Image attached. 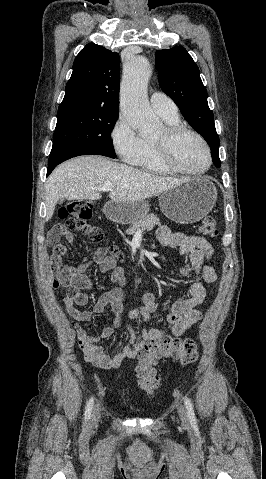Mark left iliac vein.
<instances>
[{
    "label": "left iliac vein",
    "instance_id": "obj_1",
    "mask_svg": "<svg viewBox=\"0 0 266 479\" xmlns=\"http://www.w3.org/2000/svg\"><path fill=\"white\" fill-rule=\"evenodd\" d=\"M178 414H179V417H180V420H181L182 424L188 425V423H189L188 417H187V414H186V411H185L183 405H181V404L178 406Z\"/></svg>",
    "mask_w": 266,
    "mask_h": 479
}]
</instances>
